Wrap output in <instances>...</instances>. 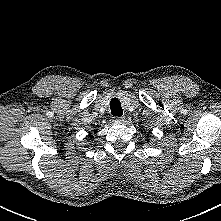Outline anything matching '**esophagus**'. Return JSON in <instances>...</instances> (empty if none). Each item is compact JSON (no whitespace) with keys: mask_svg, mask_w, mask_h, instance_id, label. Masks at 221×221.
Returning <instances> with one entry per match:
<instances>
[{"mask_svg":"<svg viewBox=\"0 0 221 221\" xmlns=\"http://www.w3.org/2000/svg\"><path fill=\"white\" fill-rule=\"evenodd\" d=\"M124 116H119V117H114L115 121H123L124 120Z\"/></svg>","mask_w":221,"mask_h":221,"instance_id":"obj_1","label":"esophagus"}]
</instances>
